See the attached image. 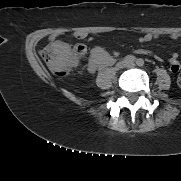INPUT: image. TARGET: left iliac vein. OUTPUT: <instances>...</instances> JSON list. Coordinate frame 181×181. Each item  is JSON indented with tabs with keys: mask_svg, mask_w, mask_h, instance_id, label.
Masks as SVG:
<instances>
[{
	"mask_svg": "<svg viewBox=\"0 0 181 181\" xmlns=\"http://www.w3.org/2000/svg\"><path fill=\"white\" fill-rule=\"evenodd\" d=\"M134 66H135L134 63H129V64H127V67H130V68H132V67H134Z\"/></svg>",
	"mask_w": 181,
	"mask_h": 181,
	"instance_id": "left-iliac-vein-1",
	"label": "left iliac vein"
}]
</instances>
